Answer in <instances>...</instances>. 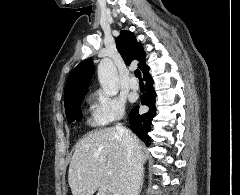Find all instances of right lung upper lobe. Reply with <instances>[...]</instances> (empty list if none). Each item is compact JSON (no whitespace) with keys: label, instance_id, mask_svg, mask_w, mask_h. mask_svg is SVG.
Masks as SVG:
<instances>
[{"label":"right lung upper lobe","instance_id":"right-lung-upper-lobe-1","mask_svg":"<svg viewBox=\"0 0 240 195\" xmlns=\"http://www.w3.org/2000/svg\"><path fill=\"white\" fill-rule=\"evenodd\" d=\"M116 46L126 64H130L134 60L139 61L138 67L143 72L144 80L150 78L149 67L145 64V53L133 33L121 31L120 36L116 39ZM93 73L94 63L92 59H86L73 69L65 86V106L84 97Z\"/></svg>","mask_w":240,"mask_h":195}]
</instances>
